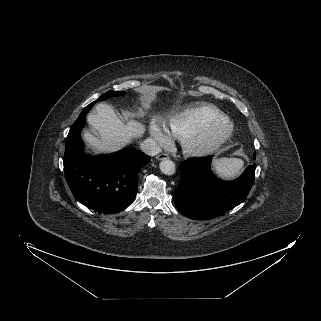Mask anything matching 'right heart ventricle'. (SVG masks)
Here are the masks:
<instances>
[{
    "label": "right heart ventricle",
    "instance_id": "obj_1",
    "mask_svg": "<svg viewBox=\"0 0 321 321\" xmlns=\"http://www.w3.org/2000/svg\"><path fill=\"white\" fill-rule=\"evenodd\" d=\"M223 117L225 114L216 106L201 104L174 112L166 119L165 128L170 135L183 140L204 124Z\"/></svg>",
    "mask_w": 321,
    "mask_h": 321
}]
</instances>
